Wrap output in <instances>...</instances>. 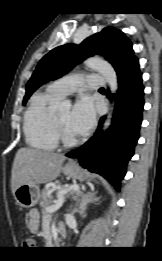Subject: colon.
I'll return each mask as SVG.
<instances>
[{
	"mask_svg": "<svg viewBox=\"0 0 162 261\" xmlns=\"http://www.w3.org/2000/svg\"><path fill=\"white\" fill-rule=\"evenodd\" d=\"M35 243H34V241L33 240H26L25 242H24V245L25 246H32V245H34Z\"/></svg>",
	"mask_w": 162,
	"mask_h": 261,
	"instance_id": "5ec220e1",
	"label": "colon"
}]
</instances>
